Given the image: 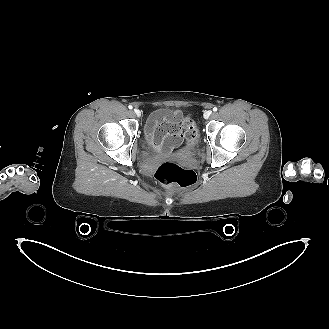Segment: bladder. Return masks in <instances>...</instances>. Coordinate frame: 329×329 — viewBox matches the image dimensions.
I'll list each match as a JSON object with an SVG mask.
<instances>
[{
    "label": "bladder",
    "instance_id": "31cf9c89",
    "mask_svg": "<svg viewBox=\"0 0 329 329\" xmlns=\"http://www.w3.org/2000/svg\"><path fill=\"white\" fill-rule=\"evenodd\" d=\"M161 112H165V111H161ZM145 146H147V145H145ZM183 156L187 157V158H192L194 156V152H192V151L184 152Z\"/></svg>",
    "mask_w": 329,
    "mask_h": 329
}]
</instances>
